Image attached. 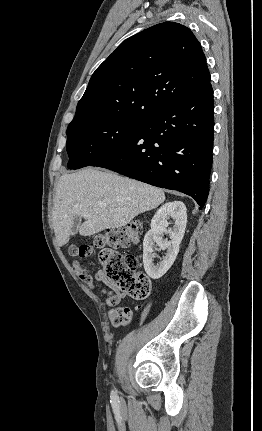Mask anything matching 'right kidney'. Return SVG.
Here are the masks:
<instances>
[{"label":"right kidney","instance_id":"right-kidney-1","mask_svg":"<svg viewBox=\"0 0 262 431\" xmlns=\"http://www.w3.org/2000/svg\"><path fill=\"white\" fill-rule=\"evenodd\" d=\"M170 218L174 219L173 228H168ZM187 223L186 206L181 201L168 202L161 206L151 221V229L143 241V263L148 276L153 279L162 277L173 265ZM168 233L170 241L163 240V233ZM155 243L160 249H167L166 256L157 264L153 262Z\"/></svg>","mask_w":262,"mask_h":431}]
</instances>
